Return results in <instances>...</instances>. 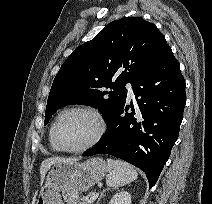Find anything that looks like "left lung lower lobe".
Masks as SVG:
<instances>
[{
  "label": "left lung lower lobe",
  "instance_id": "1",
  "mask_svg": "<svg viewBox=\"0 0 212 204\" xmlns=\"http://www.w3.org/2000/svg\"><path fill=\"white\" fill-rule=\"evenodd\" d=\"M133 91L140 112L123 102L107 118L106 134L83 156L123 159L146 173L151 188L178 138L186 104L185 80L171 48L136 80Z\"/></svg>",
  "mask_w": 212,
  "mask_h": 204
}]
</instances>
